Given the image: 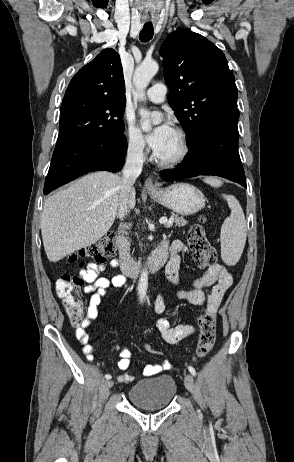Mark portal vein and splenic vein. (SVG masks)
I'll return each mask as SVG.
<instances>
[{
	"mask_svg": "<svg viewBox=\"0 0 294 462\" xmlns=\"http://www.w3.org/2000/svg\"><path fill=\"white\" fill-rule=\"evenodd\" d=\"M159 222H160V224H168V223H171L172 220H168L167 218L162 217V218H160Z\"/></svg>",
	"mask_w": 294,
	"mask_h": 462,
	"instance_id": "1",
	"label": "portal vein and splenic vein"
}]
</instances>
